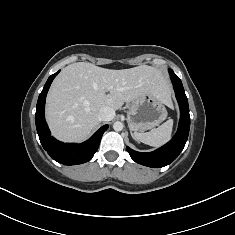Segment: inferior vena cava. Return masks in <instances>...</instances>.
Masks as SVG:
<instances>
[{
    "label": "inferior vena cava",
    "mask_w": 235,
    "mask_h": 235,
    "mask_svg": "<svg viewBox=\"0 0 235 235\" xmlns=\"http://www.w3.org/2000/svg\"><path fill=\"white\" fill-rule=\"evenodd\" d=\"M115 116V111L111 107L104 106L98 112L100 121H111Z\"/></svg>",
    "instance_id": "obj_1"
}]
</instances>
